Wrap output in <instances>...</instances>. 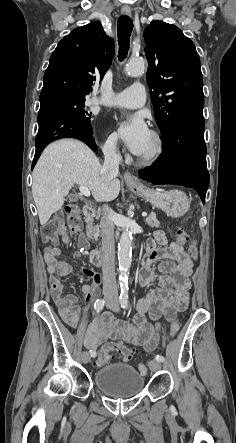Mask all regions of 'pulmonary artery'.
Here are the masks:
<instances>
[{"instance_id": "e3ab8cb5", "label": "pulmonary artery", "mask_w": 236, "mask_h": 443, "mask_svg": "<svg viewBox=\"0 0 236 443\" xmlns=\"http://www.w3.org/2000/svg\"><path fill=\"white\" fill-rule=\"evenodd\" d=\"M146 99L145 88L142 84H133L127 89L110 96H100L93 99V103L109 107H141Z\"/></svg>"}]
</instances>
